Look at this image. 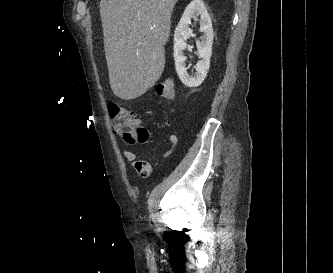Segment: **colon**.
I'll return each mask as SVG.
<instances>
[{
	"label": "colon",
	"mask_w": 333,
	"mask_h": 273,
	"mask_svg": "<svg viewBox=\"0 0 333 273\" xmlns=\"http://www.w3.org/2000/svg\"><path fill=\"white\" fill-rule=\"evenodd\" d=\"M157 96L171 102L174 99V86L171 79H165L156 85ZM110 114L115 133L129 144L144 143L148 139L147 130L141 125L138 118L126 109L115 104L110 106ZM135 170L140 177H148L151 166L147 161L138 160L134 164Z\"/></svg>",
	"instance_id": "5ec220e1"
}]
</instances>
